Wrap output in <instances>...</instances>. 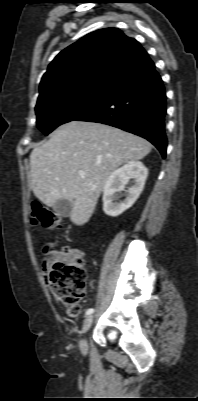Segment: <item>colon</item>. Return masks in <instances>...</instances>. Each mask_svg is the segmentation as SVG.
Masks as SVG:
<instances>
[{"label":"colon","mask_w":198,"mask_h":401,"mask_svg":"<svg viewBox=\"0 0 198 401\" xmlns=\"http://www.w3.org/2000/svg\"><path fill=\"white\" fill-rule=\"evenodd\" d=\"M31 221L33 225L41 224L47 230H57L62 225V216L39 202H34ZM63 251L68 252V249L65 248ZM49 285L55 298L68 308V314L72 317L80 316L79 305L86 293L84 260L77 258L55 263L50 273Z\"/></svg>","instance_id":"5ec220e1"}]
</instances>
